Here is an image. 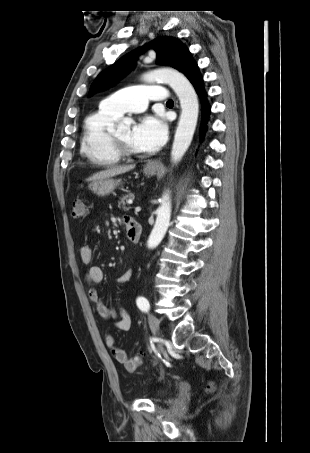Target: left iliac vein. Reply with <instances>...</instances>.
I'll list each match as a JSON object with an SVG mask.
<instances>
[{"instance_id": "1", "label": "left iliac vein", "mask_w": 310, "mask_h": 453, "mask_svg": "<svg viewBox=\"0 0 310 453\" xmlns=\"http://www.w3.org/2000/svg\"><path fill=\"white\" fill-rule=\"evenodd\" d=\"M148 322H149V326L151 328V330L156 334L158 335L159 337V326H160V322L158 320L157 317H155L154 315L152 314H149L148 316ZM160 341L158 343V352H161V349H162V340L161 338L159 337Z\"/></svg>"}]
</instances>
